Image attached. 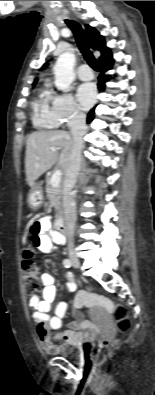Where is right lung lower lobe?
Listing matches in <instances>:
<instances>
[{
	"instance_id": "obj_1",
	"label": "right lung lower lobe",
	"mask_w": 155,
	"mask_h": 395,
	"mask_svg": "<svg viewBox=\"0 0 155 395\" xmlns=\"http://www.w3.org/2000/svg\"><path fill=\"white\" fill-rule=\"evenodd\" d=\"M112 64H113V60L112 59L107 60V61L102 62V63H99V68H100L101 75L98 78V80H99V82H98V89L100 91H104L105 83H106V81H108L110 79V76L105 75L104 73L107 70L111 69ZM94 115H95V108L91 109V111L89 112V114L87 116V123H90L94 119V117H95Z\"/></svg>"
}]
</instances>
